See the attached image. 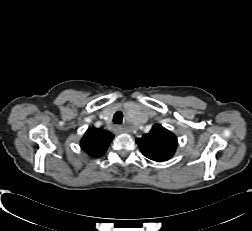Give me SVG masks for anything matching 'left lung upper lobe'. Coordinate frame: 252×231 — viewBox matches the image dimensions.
Masks as SVG:
<instances>
[{
	"instance_id": "1",
	"label": "left lung upper lobe",
	"mask_w": 252,
	"mask_h": 231,
	"mask_svg": "<svg viewBox=\"0 0 252 231\" xmlns=\"http://www.w3.org/2000/svg\"><path fill=\"white\" fill-rule=\"evenodd\" d=\"M136 142L144 156L157 162L170 159L177 147L176 136L159 124H155L149 133L137 138Z\"/></svg>"
}]
</instances>
